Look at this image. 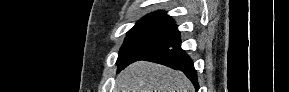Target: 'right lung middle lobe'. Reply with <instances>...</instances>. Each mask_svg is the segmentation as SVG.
<instances>
[{
	"mask_svg": "<svg viewBox=\"0 0 289 92\" xmlns=\"http://www.w3.org/2000/svg\"><path fill=\"white\" fill-rule=\"evenodd\" d=\"M180 42V32L171 23L140 20L127 32L119 51L118 72L130 63Z\"/></svg>",
	"mask_w": 289,
	"mask_h": 92,
	"instance_id": "1",
	"label": "right lung middle lobe"
}]
</instances>
